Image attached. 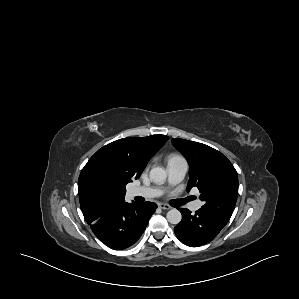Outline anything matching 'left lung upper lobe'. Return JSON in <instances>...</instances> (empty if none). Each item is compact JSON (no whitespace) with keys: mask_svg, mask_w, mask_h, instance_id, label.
Segmentation results:
<instances>
[{"mask_svg":"<svg viewBox=\"0 0 299 299\" xmlns=\"http://www.w3.org/2000/svg\"><path fill=\"white\" fill-rule=\"evenodd\" d=\"M190 169L187 189L197 187L204 201L201 210L227 224L237 200L238 176L232 163L219 151L202 143L172 139Z\"/></svg>","mask_w":299,"mask_h":299,"instance_id":"obj_1","label":"left lung upper lobe"}]
</instances>
